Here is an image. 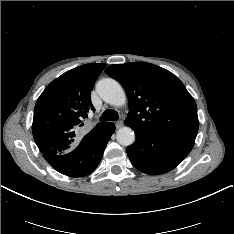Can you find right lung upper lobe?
<instances>
[{
    "label": "right lung upper lobe",
    "instance_id": "obj_1",
    "mask_svg": "<svg viewBox=\"0 0 234 234\" xmlns=\"http://www.w3.org/2000/svg\"><path fill=\"white\" fill-rule=\"evenodd\" d=\"M105 66L91 63L76 67L52 81L42 92L34 109L32 133L44 155L64 154L75 148L83 119L90 110H95L90 93Z\"/></svg>",
    "mask_w": 234,
    "mask_h": 234
}]
</instances>
